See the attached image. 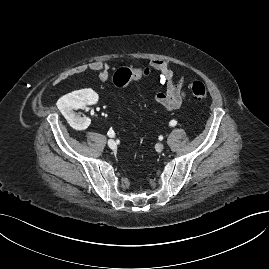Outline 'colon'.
<instances>
[{"label": "colon", "instance_id": "5ec220e1", "mask_svg": "<svg viewBox=\"0 0 269 269\" xmlns=\"http://www.w3.org/2000/svg\"><path fill=\"white\" fill-rule=\"evenodd\" d=\"M150 73V69L143 70V76H147ZM134 72L127 68H121L116 71L113 77V83L117 88L126 87L132 79H134ZM192 97L196 102H202L207 97V90L205 85L200 81H195L191 85Z\"/></svg>", "mask_w": 269, "mask_h": 269}]
</instances>
